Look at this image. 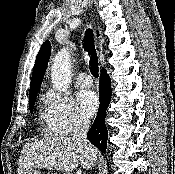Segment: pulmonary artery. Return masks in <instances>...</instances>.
<instances>
[{"label":"pulmonary artery","mask_w":175,"mask_h":174,"mask_svg":"<svg viewBox=\"0 0 175 174\" xmlns=\"http://www.w3.org/2000/svg\"><path fill=\"white\" fill-rule=\"evenodd\" d=\"M77 84L82 88H89L92 86L93 81L89 74L82 72L77 76Z\"/></svg>","instance_id":"e3ab8cb5"}]
</instances>
